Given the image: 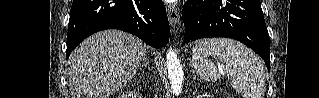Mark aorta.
Listing matches in <instances>:
<instances>
[{
	"mask_svg": "<svg viewBox=\"0 0 319 98\" xmlns=\"http://www.w3.org/2000/svg\"><path fill=\"white\" fill-rule=\"evenodd\" d=\"M166 63L173 94L178 95L182 89L184 72L180 61L172 48L167 52Z\"/></svg>",
	"mask_w": 319,
	"mask_h": 98,
	"instance_id": "1",
	"label": "aorta"
}]
</instances>
